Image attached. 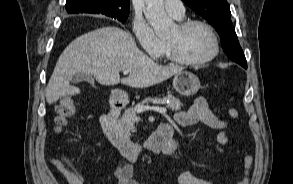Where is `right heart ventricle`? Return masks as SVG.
Returning <instances> with one entry per match:
<instances>
[{"label": "right heart ventricle", "instance_id": "right-heart-ventricle-1", "mask_svg": "<svg viewBox=\"0 0 293 184\" xmlns=\"http://www.w3.org/2000/svg\"><path fill=\"white\" fill-rule=\"evenodd\" d=\"M161 56L165 57V58H169V54H168V47L167 44L165 43V48L161 54Z\"/></svg>", "mask_w": 293, "mask_h": 184}]
</instances>
